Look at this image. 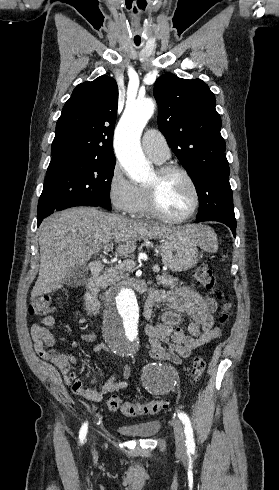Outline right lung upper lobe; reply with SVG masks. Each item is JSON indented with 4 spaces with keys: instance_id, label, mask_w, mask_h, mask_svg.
Returning a JSON list of instances; mask_svg holds the SVG:
<instances>
[{
    "instance_id": "right-lung-upper-lobe-1",
    "label": "right lung upper lobe",
    "mask_w": 279,
    "mask_h": 490,
    "mask_svg": "<svg viewBox=\"0 0 279 490\" xmlns=\"http://www.w3.org/2000/svg\"><path fill=\"white\" fill-rule=\"evenodd\" d=\"M118 87L107 75L79 84L56 124L51 163L85 157L114 156L113 131Z\"/></svg>"
}]
</instances>
